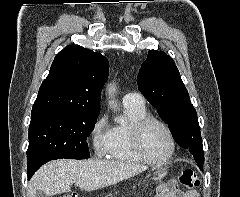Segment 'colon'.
<instances>
[{
  "label": "colon",
  "instance_id": "colon-1",
  "mask_svg": "<svg viewBox=\"0 0 240 197\" xmlns=\"http://www.w3.org/2000/svg\"><path fill=\"white\" fill-rule=\"evenodd\" d=\"M179 181L187 190H192L195 186H198L200 182L197 173L194 170L190 169H186L181 172ZM170 191L171 188L166 185H163L159 188V193L163 197H165ZM62 197H78V196L72 193L66 194Z\"/></svg>",
  "mask_w": 240,
  "mask_h": 197
}]
</instances>
